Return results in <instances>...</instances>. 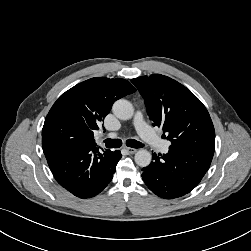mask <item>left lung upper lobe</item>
I'll list each match as a JSON object with an SVG mask.
<instances>
[{
    "label": "left lung upper lobe",
    "instance_id": "5c2ea615",
    "mask_svg": "<svg viewBox=\"0 0 251 251\" xmlns=\"http://www.w3.org/2000/svg\"><path fill=\"white\" fill-rule=\"evenodd\" d=\"M144 98L153 126L163 127L171 141L169 149L215 151V131L202 102L170 77L153 74L131 80Z\"/></svg>",
    "mask_w": 251,
    "mask_h": 251
}]
</instances>
